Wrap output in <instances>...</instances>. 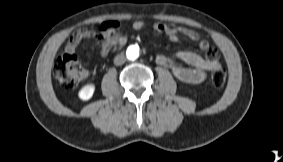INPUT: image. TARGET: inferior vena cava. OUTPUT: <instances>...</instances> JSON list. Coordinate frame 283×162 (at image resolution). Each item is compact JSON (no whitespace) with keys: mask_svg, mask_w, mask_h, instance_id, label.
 <instances>
[{"mask_svg":"<svg viewBox=\"0 0 283 162\" xmlns=\"http://www.w3.org/2000/svg\"><path fill=\"white\" fill-rule=\"evenodd\" d=\"M126 61V57L124 56V54H118L115 58H114V64L119 66L124 64Z\"/></svg>","mask_w":283,"mask_h":162,"instance_id":"obj_1","label":"inferior vena cava"}]
</instances>
